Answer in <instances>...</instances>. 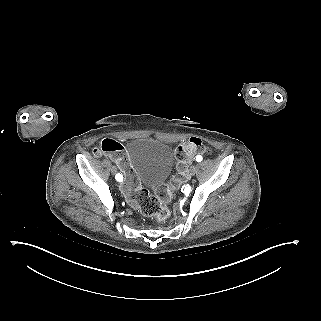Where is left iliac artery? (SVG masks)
Wrapping results in <instances>:
<instances>
[{"label":"left iliac artery","instance_id":"left-iliac-artery-1","mask_svg":"<svg viewBox=\"0 0 321 321\" xmlns=\"http://www.w3.org/2000/svg\"><path fill=\"white\" fill-rule=\"evenodd\" d=\"M196 161H197V162H201V161H202V156H200V155L197 156V157H196Z\"/></svg>","mask_w":321,"mask_h":321}]
</instances>
